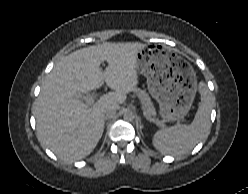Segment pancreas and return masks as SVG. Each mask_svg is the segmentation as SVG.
<instances>
[{
  "label": "pancreas",
  "instance_id": "obj_1",
  "mask_svg": "<svg viewBox=\"0 0 248 194\" xmlns=\"http://www.w3.org/2000/svg\"><path fill=\"white\" fill-rule=\"evenodd\" d=\"M137 95L143 101L142 109L144 114L154 117L156 115V110L153 103L151 102L149 95L143 90H138Z\"/></svg>",
  "mask_w": 248,
  "mask_h": 194
}]
</instances>
